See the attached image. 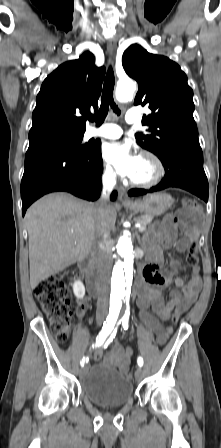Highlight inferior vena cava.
Instances as JSON below:
<instances>
[{"label":"inferior vena cava","mask_w":221,"mask_h":448,"mask_svg":"<svg viewBox=\"0 0 221 448\" xmlns=\"http://www.w3.org/2000/svg\"><path fill=\"white\" fill-rule=\"evenodd\" d=\"M116 175L107 173L103 181V193L95 204V210L99 215H103L108 205L109 194L115 183ZM94 254L100 274V297L97 304V312L106 315L108 312V297L110 284V271L112 267V250L110 243V232L103 229L101 225L97 227L96 242L94 244Z\"/></svg>","instance_id":"inferior-vena-cava-1"}]
</instances>
